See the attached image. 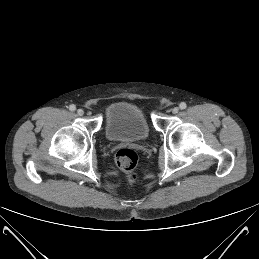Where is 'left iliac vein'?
Instances as JSON below:
<instances>
[{
	"label": "left iliac vein",
	"instance_id": "1",
	"mask_svg": "<svg viewBox=\"0 0 259 259\" xmlns=\"http://www.w3.org/2000/svg\"><path fill=\"white\" fill-rule=\"evenodd\" d=\"M172 112H173L174 114H177V113L179 112V108H178V107H174V108L172 109Z\"/></svg>",
	"mask_w": 259,
	"mask_h": 259
}]
</instances>
